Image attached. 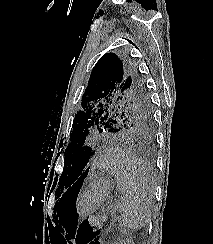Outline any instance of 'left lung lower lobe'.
<instances>
[{
	"mask_svg": "<svg viewBox=\"0 0 213 244\" xmlns=\"http://www.w3.org/2000/svg\"><path fill=\"white\" fill-rule=\"evenodd\" d=\"M92 155V153H90V150H87L85 155L82 158V162H81V168H80V175L78 177V179L76 180V182L73 184V186L75 185H79L81 186L83 183L84 178L87 176L88 173V168L86 169V165L89 161V157Z\"/></svg>",
	"mask_w": 213,
	"mask_h": 244,
	"instance_id": "left-lung-lower-lobe-1",
	"label": "left lung lower lobe"
}]
</instances>
